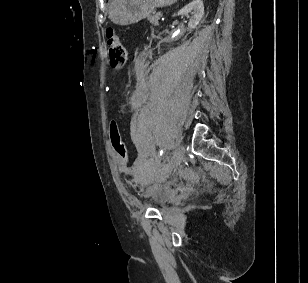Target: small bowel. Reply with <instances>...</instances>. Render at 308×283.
Listing matches in <instances>:
<instances>
[{
	"mask_svg": "<svg viewBox=\"0 0 308 283\" xmlns=\"http://www.w3.org/2000/svg\"><path fill=\"white\" fill-rule=\"evenodd\" d=\"M146 101V94L140 90H136L131 96V106L133 109L140 108ZM120 171L122 173H127L128 168L126 166H120Z\"/></svg>",
	"mask_w": 308,
	"mask_h": 283,
	"instance_id": "1",
	"label": "small bowel"
}]
</instances>
